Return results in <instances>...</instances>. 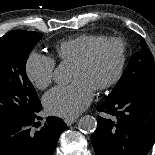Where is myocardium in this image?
I'll list each match as a JSON object with an SVG mask.
<instances>
[{"instance_id": "f54148a6", "label": "myocardium", "mask_w": 155, "mask_h": 155, "mask_svg": "<svg viewBox=\"0 0 155 155\" xmlns=\"http://www.w3.org/2000/svg\"><path fill=\"white\" fill-rule=\"evenodd\" d=\"M107 43H114L117 44L119 49H120V59H119V64L117 66V69L114 73V75L105 83L99 85L96 87V91H103L106 89H109L116 85L119 80L121 79L125 65H126V59H127V49H126V44L122 38L119 37H104L103 39L97 41L94 43L86 52L85 54L78 60L76 61L73 66L77 67H84L90 63L92 60L93 56L97 52V50L104 44Z\"/></svg>"}]
</instances>
